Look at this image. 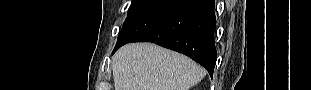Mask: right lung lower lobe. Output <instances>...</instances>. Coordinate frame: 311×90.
Segmentation results:
<instances>
[{"mask_svg":"<svg viewBox=\"0 0 311 90\" xmlns=\"http://www.w3.org/2000/svg\"><path fill=\"white\" fill-rule=\"evenodd\" d=\"M214 5V0H190L168 20L131 42H154L183 53L200 63L212 77L217 58Z\"/></svg>","mask_w":311,"mask_h":90,"instance_id":"1","label":"right lung lower lobe"}]
</instances>
